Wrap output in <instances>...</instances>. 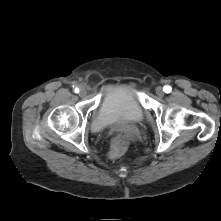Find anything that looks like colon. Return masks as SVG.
Wrapping results in <instances>:
<instances>
[{"label": "colon", "mask_w": 221, "mask_h": 221, "mask_svg": "<svg viewBox=\"0 0 221 221\" xmlns=\"http://www.w3.org/2000/svg\"><path fill=\"white\" fill-rule=\"evenodd\" d=\"M127 148V142L125 138L121 135L116 136L111 144L110 148V157L117 158L121 156Z\"/></svg>", "instance_id": "obj_1"}]
</instances>
